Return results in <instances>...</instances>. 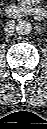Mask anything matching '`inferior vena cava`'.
<instances>
[{
    "instance_id": "inferior-vena-cava-1",
    "label": "inferior vena cava",
    "mask_w": 47,
    "mask_h": 129,
    "mask_svg": "<svg viewBox=\"0 0 47 129\" xmlns=\"http://www.w3.org/2000/svg\"><path fill=\"white\" fill-rule=\"evenodd\" d=\"M14 27H15L14 22H10V23L7 25L6 29H5L6 33H7V34H11V33L13 32V30H14Z\"/></svg>"
}]
</instances>
